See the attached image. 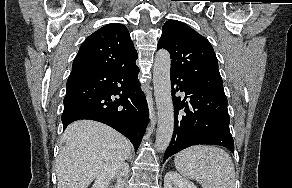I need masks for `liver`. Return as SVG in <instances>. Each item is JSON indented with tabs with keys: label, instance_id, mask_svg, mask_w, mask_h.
I'll list each match as a JSON object with an SVG mask.
<instances>
[{
	"label": "liver",
	"instance_id": "liver-1",
	"mask_svg": "<svg viewBox=\"0 0 292 188\" xmlns=\"http://www.w3.org/2000/svg\"><path fill=\"white\" fill-rule=\"evenodd\" d=\"M61 143L56 160L58 188H88L102 172L128 159L132 150L126 137L91 120L71 123Z\"/></svg>",
	"mask_w": 292,
	"mask_h": 188
}]
</instances>
